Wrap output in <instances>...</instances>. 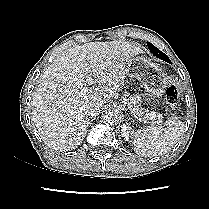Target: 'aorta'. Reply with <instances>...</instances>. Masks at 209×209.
Instances as JSON below:
<instances>
[{"label": "aorta", "instance_id": "aorta-1", "mask_svg": "<svg viewBox=\"0 0 209 209\" xmlns=\"http://www.w3.org/2000/svg\"><path fill=\"white\" fill-rule=\"evenodd\" d=\"M122 119L119 111L111 110L104 114L103 120L109 125H117Z\"/></svg>", "mask_w": 209, "mask_h": 209}]
</instances>
